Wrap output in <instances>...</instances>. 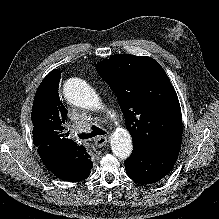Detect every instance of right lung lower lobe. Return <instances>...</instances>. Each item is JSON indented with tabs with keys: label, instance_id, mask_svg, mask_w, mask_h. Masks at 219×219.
<instances>
[{
	"label": "right lung lower lobe",
	"instance_id": "98d812e1",
	"mask_svg": "<svg viewBox=\"0 0 219 219\" xmlns=\"http://www.w3.org/2000/svg\"><path fill=\"white\" fill-rule=\"evenodd\" d=\"M91 170V169H90ZM90 170H88V173L90 174ZM89 174H85L87 176H84V178L82 180H84L85 178H87L89 176Z\"/></svg>",
	"mask_w": 219,
	"mask_h": 219
}]
</instances>
